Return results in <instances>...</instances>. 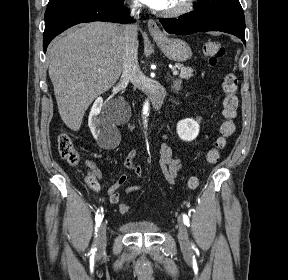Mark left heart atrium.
<instances>
[{
    "instance_id": "obj_1",
    "label": "left heart atrium",
    "mask_w": 288,
    "mask_h": 280,
    "mask_svg": "<svg viewBox=\"0 0 288 280\" xmlns=\"http://www.w3.org/2000/svg\"><path fill=\"white\" fill-rule=\"evenodd\" d=\"M150 7L157 10H164L168 6L169 0H142Z\"/></svg>"
}]
</instances>
